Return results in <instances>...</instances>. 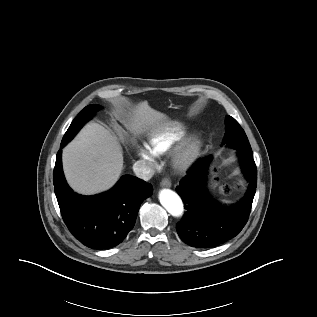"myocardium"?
<instances>
[{"mask_svg": "<svg viewBox=\"0 0 317 317\" xmlns=\"http://www.w3.org/2000/svg\"><path fill=\"white\" fill-rule=\"evenodd\" d=\"M202 149V141L199 136L192 135L184 139L175 149L173 154V166L179 172L191 168L197 161Z\"/></svg>", "mask_w": 317, "mask_h": 317, "instance_id": "myocardium-1", "label": "myocardium"}]
</instances>
